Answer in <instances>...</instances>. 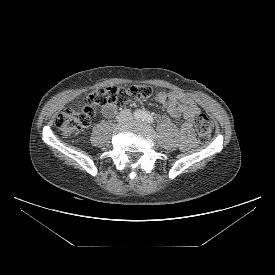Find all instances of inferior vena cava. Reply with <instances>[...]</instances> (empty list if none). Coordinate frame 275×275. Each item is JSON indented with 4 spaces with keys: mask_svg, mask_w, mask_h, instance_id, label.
Wrapping results in <instances>:
<instances>
[{
    "mask_svg": "<svg viewBox=\"0 0 275 275\" xmlns=\"http://www.w3.org/2000/svg\"><path fill=\"white\" fill-rule=\"evenodd\" d=\"M118 122H128L132 120V113L129 109L122 110L116 117Z\"/></svg>",
    "mask_w": 275,
    "mask_h": 275,
    "instance_id": "602c4592",
    "label": "inferior vena cava"
}]
</instances>
